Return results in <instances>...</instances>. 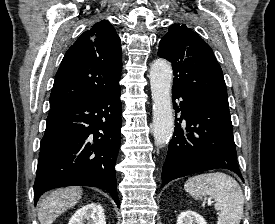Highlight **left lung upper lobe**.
I'll return each mask as SVG.
<instances>
[{
	"label": "left lung upper lobe",
	"mask_w": 275,
	"mask_h": 224,
	"mask_svg": "<svg viewBox=\"0 0 275 224\" xmlns=\"http://www.w3.org/2000/svg\"><path fill=\"white\" fill-rule=\"evenodd\" d=\"M158 55L172 64L173 91L229 109L221 67L197 33L185 25H171L159 42Z\"/></svg>",
	"instance_id": "obj_1"
}]
</instances>
